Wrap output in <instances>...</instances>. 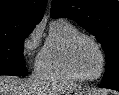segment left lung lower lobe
<instances>
[{
  "label": "left lung lower lobe",
  "mask_w": 119,
  "mask_h": 95,
  "mask_svg": "<svg viewBox=\"0 0 119 95\" xmlns=\"http://www.w3.org/2000/svg\"><path fill=\"white\" fill-rule=\"evenodd\" d=\"M104 88V87H103ZM112 89H115V90H118L119 91V87H114V88H112Z\"/></svg>",
  "instance_id": "left-lung-lower-lobe-1"
}]
</instances>
